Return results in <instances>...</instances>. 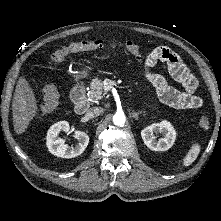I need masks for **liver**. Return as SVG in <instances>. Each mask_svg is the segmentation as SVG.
I'll return each mask as SVG.
<instances>
[{
	"mask_svg": "<svg viewBox=\"0 0 221 221\" xmlns=\"http://www.w3.org/2000/svg\"><path fill=\"white\" fill-rule=\"evenodd\" d=\"M38 112L37 101L29 82L22 76L17 82L12 101L13 126L17 134L27 129Z\"/></svg>",
	"mask_w": 221,
	"mask_h": 221,
	"instance_id": "liver-1",
	"label": "liver"
}]
</instances>
